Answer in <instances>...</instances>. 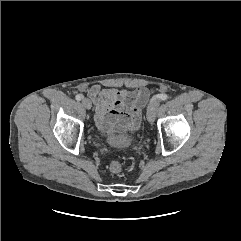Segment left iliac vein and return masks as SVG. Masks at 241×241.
<instances>
[{
  "instance_id": "4c4485c4",
  "label": "left iliac vein",
  "mask_w": 241,
  "mask_h": 241,
  "mask_svg": "<svg viewBox=\"0 0 241 241\" xmlns=\"http://www.w3.org/2000/svg\"><path fill=\"white\" fill-rule=\"evenodd\" d=\"M159 107V101L158 100H154L147 109V119L150 123H153L156 117V110Z\"/></svg>"
}]
</instances>
